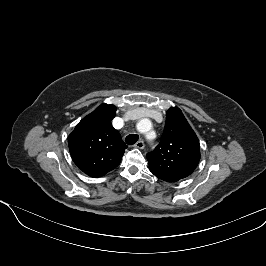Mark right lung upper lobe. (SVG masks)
<instances>
[{"label": "right lung upper lobe", "mask_w": 266, "mask_h": 266, "mask_svg": "<svg viewBox=\"0 0 266 266\" xmlns=\"http://www.w3.org/2000/svg\"><path fill=\"white\" fill-rule=\"evenodd\" d=\"M114 105L101 104L83 118L68 137L72 160L85 174L101 177L116 168L127 146L111 125Z\"/></svg>", "instance_id": "cb5924a9"}]
</instances>
